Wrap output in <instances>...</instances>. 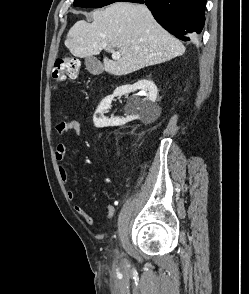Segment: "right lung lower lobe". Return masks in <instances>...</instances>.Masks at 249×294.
Segmentation results:
<instances>
[{
    "instance_id": "1",
    "label": "right lung lower lobe",
    "mask_w": 249,
    "mask_h": 294,
    "mask_svg": "<svg viewBox=\"0 0 249 294\" xmlns=\"http://www.w3.org/2000/svg\"><path fill=\"white\" fill-rule=\"evenodd\" d=\"M146 4L156 21L183 41H197L205 23L207 0H119Z\"/></svg>"
}]
</instances>
